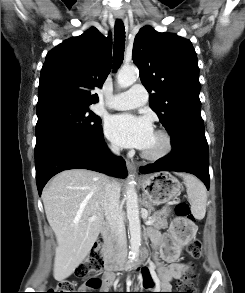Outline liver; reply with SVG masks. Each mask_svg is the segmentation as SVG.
<instances>
[{
	"label": "liver",
	"mask_w": 245,
	"mask_h": 293,
	"mask_svg": "<svg viewBox=\"0 0 245 293\" xmlns=\"http://www.w3.org/2000/svg\"><path fill=\"white\" fill-rule=\"evenodd\" d=\"M108 182L103 174L71 169L56 175L43 190L46 217L57 240L53 269L57 281L75 271L97 240L104 222Z\"/></svg>",
	"instance_id": "6515ba94"
}]
</instances>
